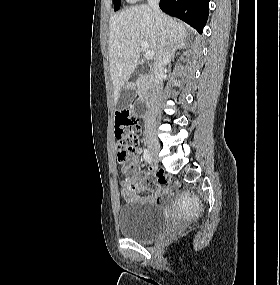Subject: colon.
Returning a JSON list of instances; mask_svg holds the SVG:
<instances>
[{
	"label": "colon",
	"mask_w": 280,
	"mask_h": 285,
	"mask_svg": "<svg viewBox=\"0 0 280 285\" xmlns=\"http://www.w3.org/2000/svg\"><path fill=\"white\" fill-rule=\"evenodd\" d=\"M115 121L118 159L120 162H123L129 154L137 151L140 128L137 121L130 115L128 109L118 111ZM156 178L160 184H166L170 181L169 176L162 171L156 173Z\"/></svg>",
	"instance_id": "colon-1"
}]
</instances>
